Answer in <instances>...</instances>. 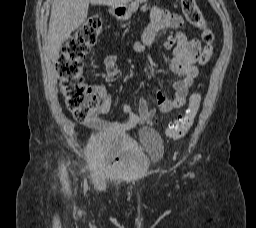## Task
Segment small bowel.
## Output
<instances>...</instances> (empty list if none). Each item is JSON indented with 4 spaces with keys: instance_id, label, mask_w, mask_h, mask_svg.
I'll list each match as a JSON object with an SVG mask.
<instances>
[{
    "instance_id": "1",
    "label": "small bowel",
    "mask_w": 256,
    "mask_h": 228,
    "mask_svg": "<svg viewBox=\"0 0 256 228\" xmlns=\"http://www.w3.org/2000/svg\"><path fill=\"white\" fill-rule=\"evenodd\" d=\"M183 26V19L180 15L160 8H154L148 27L141 39L133 45L135 51L144 52L150 48L155 36L159 32L168 28L177 30L173 37L165 41L164 46L167 49H173L170 68L181 78L173 82V98H168L161 91L155 90L157 105L160 112L164 114L185 105L189 89L199 74L195 64L198 60L201 45L198 39L186 37L181 31ZM104 64L105 81L108 83L115 82L121 76V71L116 64V57L113 55L107 56ZM91 90L101 99V112L103 114L109 113L111 109V95L107 88L99 84L92 86ZM123 112L126 115V119L122 122L91 118L88 120L87 125L100 133H123L136 126L151 122L155 115V112L149 108L143 96L138 100L136 112L129 104L123 106Z\"/></svg>"
}]
</instances>
